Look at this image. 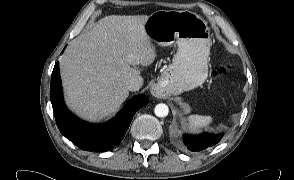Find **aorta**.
<instances>
[{
  "mask_svg": "<svg viewBox=\"0 0 294 180\" xmlns=\"http://www.w3.org/2000/svg\"><path fill=\"white\" fill-rule=\"evenodd\" d=\"M154 113L157 117H166L169 113V108L166 104L160 103L155 106Z\"/></svg>",
  "mask_w": 294,
  "mask_h": 180,
  "instance_id": "aorta-1",
  "label": "aorta"
}]
</instances>
